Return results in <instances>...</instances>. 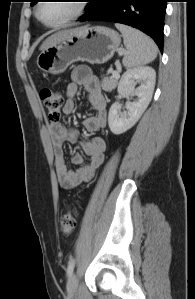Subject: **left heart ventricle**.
Returning a JSON list of instances; mask_svg holds the SVG:
<instances>
[{
	"label": "left heart ventricle",
	"mask_w": 195,
	"mask_h": 299,
	"mask_svg": "<svg viewBox=\"0 0 195 299\" xmlns=\"http://www.w3.org/2000/svg\"><path fill=\"white\" fill-rule=\"evenodd\" d=\"M74 11V1H45L40 7L39 14L44 22L55 24L72 15Z\"/></svg>",
	"instance_id": "b2bd125f"
}]
</instances>
